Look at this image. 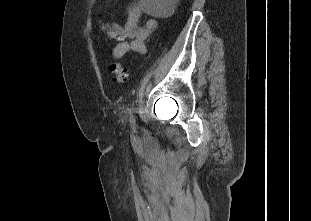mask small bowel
<instances>
[{
  "label": "small bowel",
  "instance_id": "c3829d8e",
  "mask_svg": "<svg viewBox=\"0 0 311 221\" xmlns=\"http://www.w3.org/2000/svg\"><path fill=\"white\" fill-rule=\"evenodd\" d=\"M127 20L122 28L126 40L119 42L113 49V57L120 59L128 53L144 54L145 41L157 28V20L150 17L143 26L139 25L142 8L138 3L130 4L126 9Z\"/></svg>",
  "mask_w": 311,
  "mask_h": 221
}]
</instances>
